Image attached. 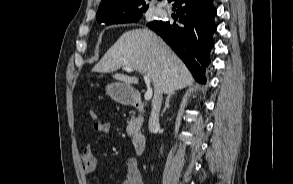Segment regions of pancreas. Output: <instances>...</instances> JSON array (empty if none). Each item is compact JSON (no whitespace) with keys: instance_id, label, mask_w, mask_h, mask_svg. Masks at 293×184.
I'll return each instance as SVG.
<instances>
[{"instance_id":"1","label":"pancreas","mask_w":293,"mask_h":184,"mask_svg":"<svg viewBox=\"0 0 293 184\" xmlns=\"http://www.w3.org/2000/svg\"><path fill=\"white\" fill-rule=\"evenodd\" d=\"M141 123H142L141 117L132 116L131 120L129 121L127 125V129H126L127 135L131 137L134 134H136L141 127Z\"/></svg>"}]
</instances>
